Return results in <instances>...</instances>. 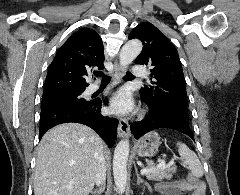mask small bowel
<instances>
[{
    "mask_svg": "<svg viewBox=\"0 0 240 195\" xmlns=\"http://www.w3.org/2000/svg\"><path fill=\"white\" fill-rule=\"evenodd\" d=\"M159 195H205V186H191L187 180L160 182L155 187Z\"/></svg>",
    "mask_w": 240,
    "mask_h": 195,
    "instance_id": "1",
    "label": "small bowel"
}]
</instances>
